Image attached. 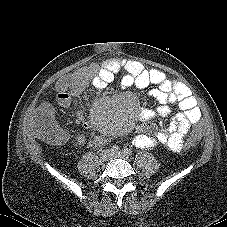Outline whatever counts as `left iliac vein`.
<instances>
[{"instance_id": "obj_1", "label": "left iliac vein", "mask_w": 227, "mask_h": 227, "mask_svg": "<svg viewBox=\"0 0 227 227\" xmlns=\"http://www.w3.org/2000/svg\"><path fill=\"white\" fill-rule=\"evenodd\" d=\"M111 157H118V158H122L125 160L129 159V155L126 152H122V151H119L117 153H112Z\"/></svg>"}]
</instances>
